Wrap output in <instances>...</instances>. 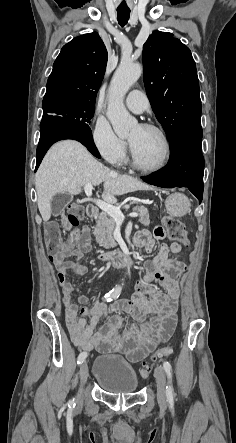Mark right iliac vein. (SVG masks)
Segmentation results:
<instances>
[{
    "instance_id": "1",
    "label": "right iliac vein",
    "mask_w": 236,
    "mask_h": 443,
    "mask_svg": "<svg viewBox=\"0 0 236 443\" xmlns=\"http://www.w3.org/2000/svg\"><path fill=\"white\" fill-rule=\"evenodd\" d=\"M79 376H80V391L79 392L81 395L84 392V386H85L88 376H89L88 365L86 362L82 363V365L80 367V371H79Z\"/></svg>"
}]
</instances>
